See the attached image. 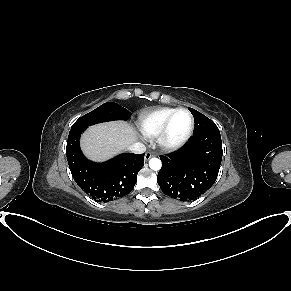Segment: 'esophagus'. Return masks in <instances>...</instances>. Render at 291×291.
Here are the masks:
<instances>
[{"instance_id": "obj_1", "label": "esophagus", "mask_w": 291, "mask_h": 291, "mask_svg": "<svg viewBox=\"0 0 291 291\" xmlns=\"http://www.w3.org/2000/svg\"><path fill=\"white\" fill-rule=\"evenodd\" d=\"M153 156H154L153 152L148 151V152L145 153L144 159L147 161V160H149Z\"/></svg>"}]
</instances>
